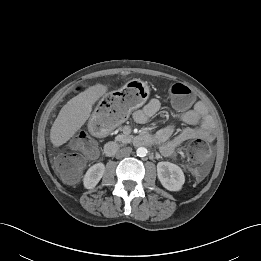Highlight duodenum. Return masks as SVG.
<instances>
[{
    "label": "duodenum",
    "instance_id": "1",
    "mask_svg": "<svg viewBox=\"0 0 261 261\" xmlns=\"http://www.w3.org/2000/svg\"><path fill=\"white\" fill-rule=\"evenodd\" d=\"M133 143L136 146H151L154 143V138L151 135L140 133L134 136ZM118 148L119 146L116 142H108L104 146V153L106 156H113L117 152Z\"/></svg>",
    "mask_w": 261,
    "mask_h": 261
}]
</instances>
